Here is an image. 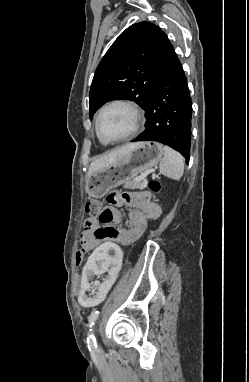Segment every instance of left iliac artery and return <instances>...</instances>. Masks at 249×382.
Instances as JSON below:
<instances>
[{
  "label": "left iliac artery",
  "mask_w": 249,
  "mask_h": 382,
  "mask_svg": "<svg viewBox=\"0 0 249 382\" xmlns=\"http://www.w3.org/2000/svg\"><path fill=\"white\" fill-rule=\"evenodd\" d=\"M98 316H99V311H94L89 316L90 332L88 333L87 343H88V348L90 351L97 348L96 338L93 335V333H91V331H92L91 328L94 325L95 321L97 320Z\"/></svg>",
  "instance_id": "1"
}]
</instances>
